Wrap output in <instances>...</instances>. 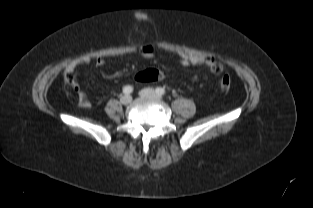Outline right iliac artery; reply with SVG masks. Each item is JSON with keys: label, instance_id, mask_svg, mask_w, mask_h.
<instances>
[{"label": "right iliac artery", "instance_id": "1", "mask_svg": "<svg viewBox=\"0 0 313 208\" xmlns=\"http://www.w3.org/2000/svg\"><path fill=\"white\" fill-rule=\"evenodd\" d=\"M133 92V87L132 86H125L124 88H123V93L125 94V95H128V94H130V93H132Z\"/></svg>", "mask_w": 313, "mask_h": 208}]
</instances>
